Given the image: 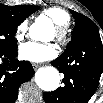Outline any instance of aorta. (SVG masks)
I'll return each mask as SVG.
<instances>
[{"instance_id": "aorta-1", "label": "aorta", "mask_w": 103, "mask_h": 103, "mask_svg": "<svg viewBox=\"0 0 103 103\" xmlns=\"http://www.w3.org/2000/svg\"><path fill=\"white\" fill-rule=\"evenodd\" d=\"M40 22L37 20L35 26H39ZM35 82L39 88L44 91H54L58 88L60 82V75L56 68L46 67L40 68L35 73Z\"/></svg>"}]
</instances>
